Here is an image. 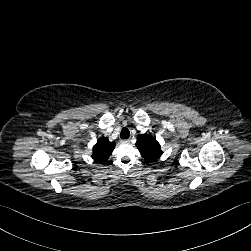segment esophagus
<instances>
[{
  "instance_id": "1",
  "label": "esophagus",
  "mask_w": 251,
  "mask_h": 251,
  "mask_svg": "<svg viewBox=\"0 0 251 251\" xmlns=\"http://www.w3.org/2000/svg\"><path fill=\"white\" fill-rule=\"evenodd\" d=\"M120 142H121V143H128L129 140H121Z\"/></svg>"
}]
</instances>
